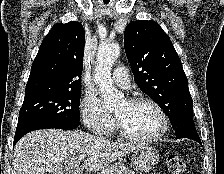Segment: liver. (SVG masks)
Returning <instances> with one entry per match:
<instances>
[{
  "label": "liver",
  "instance_id": "1",
  "mask_svg": "<svg viewBox=\"0 0 224 174\" xmlns=\"http://www.w3.org/2000/svg\"><path fill=\"white\" fill-rule=\"evenodd\" d=\"M140 145L112 142L81 131L37 130L15 145L13 170L14 174H82L83 169L97 172ZM80 157H86L82 165Z\"/></svg>",
  "mask_w": 224,
  "mask_h": 174
}]
</instances>
